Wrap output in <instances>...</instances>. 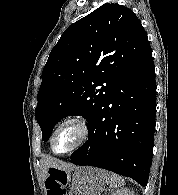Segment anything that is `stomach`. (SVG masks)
I'll return each mask as SVG.
<instances>
[{
  "label": "stomach",
  "mask_w": 178,
  "mask_h": 195,
  "mask_svg": "<svg viewBox=\"0 0 178 195\" xmlns=\"http://www.w3.org/2000/svg\"><path fill=\"white\" fill-rule=\"evenodd\" d=\"M71 170L49 168L48 178L57 184L55 191L61 195H101L105 190L106 181L100 169L91 166L75 167ZM68 186V189H67ZM52 190V189H49Z\"/></svg>",
  "instance_id": "obj_1"
}]
</instances>
